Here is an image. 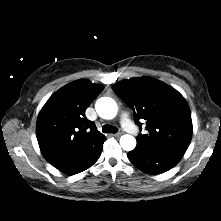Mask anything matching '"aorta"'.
<instances>
[{"mask_svg":"<svg viewBox=\"0 0 221 221\" xmlns=\"http://www.w3.org/2000/svg\"><path fill=\"white\" fill-rule=\"evenodd\" d=\"M98 115L103 119H113L117 115V103L110 97H101L95 104ZM120 145L126 151L136 147V139L132 135L125 134L120 138Z\"/></svg>","mask_w":221,"mask_h":221,"instance_id":"aorta-1","label":"aorta"}]
</instances>
